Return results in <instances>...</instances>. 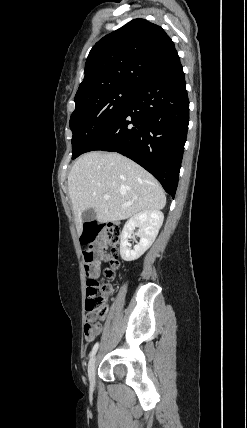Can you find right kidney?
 <instances>
[{
	"mask_svg": "<svg viewBox=\"0 0 247 428\" xmlns=\"http://www.w3.org/2000/svg\"><path fill=\"white\" fill-rule=\"evenodd\" d=\"M164 220L159 210H147L131 217L124 225L120 236V255L125 261L138 259L153 244ZM138 227L139 242L133 246L129 243L132 233Z\"/></svg>",
	"mask_w": 247,
	"mask_h": 428,
	"instance_id": "obj_1",
	"label": "right kidney"
}]
</instances>
